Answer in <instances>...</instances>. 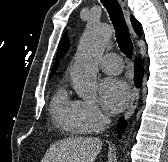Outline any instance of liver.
I'll return each instance as SVG.
<instances>
[{"mask_svg":"<svg viewBox=\"0 0 168 162\" xmlns=\"http://www.w3.org/2000/svg\"><path fill=\"white\" fill-rule=\"evenodd\" d=\"M102 149L96 137H72L54 143L41 162H94Z\"/></svg>","mask_w":168,"mask_h":162,"instance_id":"1","label":"liver"}]
</instances>
